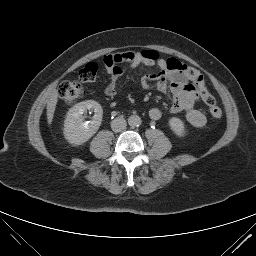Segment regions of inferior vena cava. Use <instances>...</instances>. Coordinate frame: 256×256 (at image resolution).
Segmentation results:
<instances>
[{
    "label": "inferior vena cava",
    "instance_id": "inferior-vena-cava-1",
    "mask_svg": "<svg viewBox=\"0 0 256 256\" xmlns=\"http://www.w3.org/2000/svg\"><path fill=\"white\" fill-rule=\"evenodd\" d=\"M126 126H127V123L123 117H116L111 122V128L114 132H121L126 128Z\"/></svg>",
    "mask_w": 256,
    "mask_h": 256
}]
</instances>
